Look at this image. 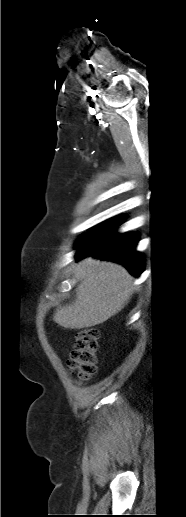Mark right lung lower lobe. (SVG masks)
I'll return each instance as SVG.
<instances>
[{
    "instance_id": "right-lung-lower-lobe-1",
    "label": "right lung lower lobe",
    "mask_w": 186,
    "mask_h": 517,
    "mask_svg": "<svg viewBox=\"0 0 186 517\" xmlns=\"http://www.w3.org/2000/svg\"><path fill=\"white\" fill-rule=\"evenodd\" d=\"M123 217L117 216L92 228L77 241L76 254L79 260L86 256H96L125 266L129 272L139 276L143 272L144 260L135 251L137 233H116L114 230L122 223Z\"/></svg>"
}]
</instances>
